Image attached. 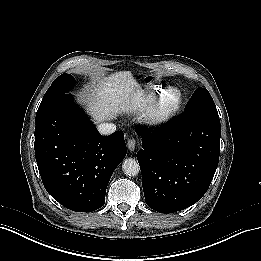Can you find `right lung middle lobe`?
I'll use <instances>...</instances> for the list:
<instances>
[{
    "label": "right lung middle lobe",
    "mask_w": 261,
    "mask_h": 261,
    "mask_svg": "<svg viewBox=\"0 0 261 261\" xmlns=\"http://www.w3.org/2000/svg\"><path fill=\"white\" fill-rule=\"evenodd\" d=\"M74 77L70 74H62L54 80L38 108L36 117L43 113L53 103L62 98L74 85Z\"/></svg>",
    "instance_id": "dd1d6c3e"
}]
</instances>
